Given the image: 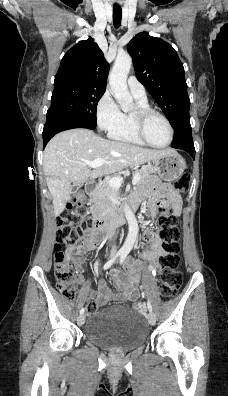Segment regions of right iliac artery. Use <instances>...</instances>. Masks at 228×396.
Segmentation results:
<instances>
[{
  "mask_svg": "<svg viewBox=\"0 0 228 396\" xmlns=\"http://www.w3.org/2000/svg\"><path fill=\"white\" fill-rule=\"evenodd\" d=\"M122 253H123L122 251L117 252L108 262L105 263L103 269L107 270L108 268H110L113 265V263L116 261V259L119 256H121ZM84 312H85V309L81 308L80 314H83Z\"/></svg>",
  "mask_w": 228,
  "mask_h": 396,
  "instance_id": "right-iliac-artery-1",
  "label": "right iliac artery"
}]
</instances>
